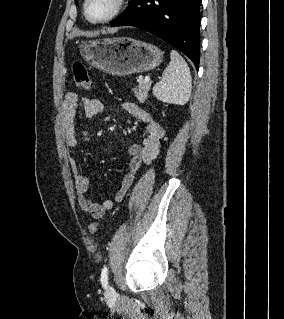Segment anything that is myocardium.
Listing matches in <instances>:
<instances>
[{"instance_id": "1", "label": "myocardium", "mask_w": 284, "mask_h": 319, "mask_svg": "<svg viewBox=\"0 0 284 319\" xmlns=\"http://www.w3.org/2000/svg\"><path fill=\"white\" fill-rule=\"evenodd\" d=\"M89 1L90 0H84V3H83V13H84L86 20L92 24H105V23L112 21L113 19L118 17L123 12V10L125 9V7L127 5L128 0H115L114 7H113L112 11L109 13V15H107L105 18L99 19V20H94L89 16V14H88Z\"/></svg>"}]
</instances>
